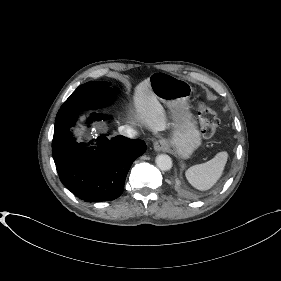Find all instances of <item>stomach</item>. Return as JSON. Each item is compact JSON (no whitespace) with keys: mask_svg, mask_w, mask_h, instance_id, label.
<instances>
[{"mask_svg":"<svg viewBox=\"0 0 281 281\" xmlns=\"http://www.w3.org/2000/svg\"><path fill=\"white\" fill-rule=\"evenodd\" d=\"M151 89L158 100L170 109L182 110L181 120L172 136L165 140L181 157L188 158L201 144L200 133L191 115L186 111V102L191 87L185 80L165 72H155L149 77Z\"/></svg>","mask_w":281,"mask_h":281,"instance_id":"obj_1","label":"stomach"}]
</instances>
